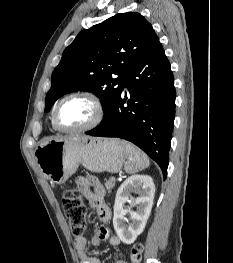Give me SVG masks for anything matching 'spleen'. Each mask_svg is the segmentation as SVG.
Wrapping results in <instances>:
<instances>
[{
	"label": "spleen",
	"mask_w": 233,
	"mask_h": 263,
	"mask_svg": "<svg viewBox=\"0 0 233 263\" xmlns=\"http://www.w3.org/2000/svg\"><path fill=\"white\" fill-rule=\"evenodd\" d=\"M126 150L124 169L129 174H134L149 167L150 161L146 154L130 142L123 141Z\"/></svg>",
	"instance_id": "obj_1"
}]
</instances>
